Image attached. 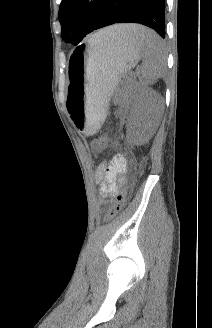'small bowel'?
Masks as SVG:
<instances>
[{"mask_svg":"<svg viewBox=\"0 0 212 328\" xmlns=\"http://www.w3.org/2000/svg\"><path fill=\"white\" fill-rule=\"evenodd\" d=\"M128 160L123 154H116L96 170L99 191L104 199H113L118 189L125 183Z\"/></svg>","mask_w":212,"mask_h":328,"instance_id":"small-bowel-1","label":"small bowel"}]
</instances>
